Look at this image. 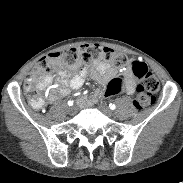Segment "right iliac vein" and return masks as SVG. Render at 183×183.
<instances>
[{
  "instance_id": "1",
  "label": "right iliac vein",
  "mask_w": 183,
  "mask_h": 183,
  "mask_svg": "<svg viewBox=\"0 0 183 183\" xmlns=\"http://www.w3.org/2000/svg\"><path fill=\"white\" fill-rule=\"evenodd\" d=\"M75 110H76V109H75L74 107L69 108V112H70V113H74Z\"/></svg>"
}]
</instances>
